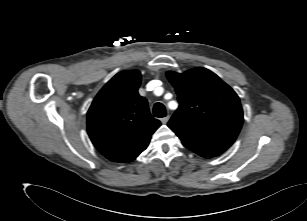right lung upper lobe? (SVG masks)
Returning a JSON list of instances; mask_svg holds the SVG:
<instances>
[{
    "mask_svg": "<svg viewBox=\"0 0 307 221\" xmlns=\"http://www.w3.org/2000/svg\"><path fill=\"white\" fill-rule=\"evenodd\" d=\"M138 70L116 74L97 94L87 114V131L94 146L114 162H130L144 151L161 125L147 100L138 94Z\"/></svg>",
    "mask_w": 307,
    "mask_h": 221,
    "instance_id": "obj_1",
    "label": "right lung upper lobe"
}]
</instances>
